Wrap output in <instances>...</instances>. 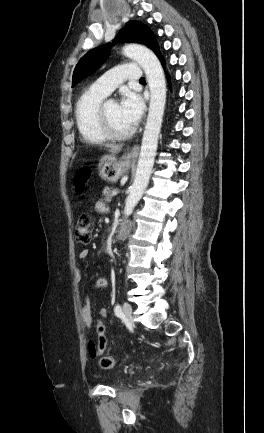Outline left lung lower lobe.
Segmentation results:
<instances>
[{
	"instance_id": "1",
	"label": "left lung lower lobe",
	"mask_w": 264,
	"mask_h": 433,
	"mask_svg": "<svg viewBox=\"0 0 264 433\" xmlns=\"http://www.w3.org/2000/svg\"><path fill=\"white\" fill-rule=\"evenodd\" d=\"M159 59H160L162 65H163V67H164L165 61H164V59L162 58V56H160ZM167 78H168V80H170L169 75H167Z\"/></svg>"
}]
</instances>
